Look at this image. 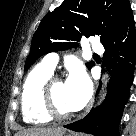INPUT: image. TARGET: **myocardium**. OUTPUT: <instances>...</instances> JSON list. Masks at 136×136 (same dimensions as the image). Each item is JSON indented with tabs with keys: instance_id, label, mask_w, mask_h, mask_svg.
<instances>
[{
	"instance_id": "1",
	"label": "myocardium",
	"mask_w": 136,
	"mask_h": 136,
	"mask_svg": "<svg viewBox=\"0 0 136 136\" xmlns=\"http://www.w3.org/2000/svg\"><path fill=\"white\" fill-rule=\"evenodd\" d=\"M62 82L61 78L51 76L45 83L42 90V104L45 112L54 119L64 120L74 116V112H62L58 109L54 100V86L56 83Z\"/></svg>"
}]
</instances>
